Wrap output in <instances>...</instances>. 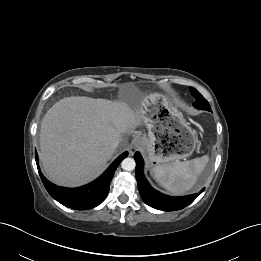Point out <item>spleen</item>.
Masks as SVG:
<instances>
[{
    "mask_svg": "<svg viewBox=\"0 0 261 261\" xmlns=\"http://www.w3.org/2000/svg\"><path fill=\"white\" fill-rule=\"evenodd\" d=\"M208 160V156L204 155L185 162L158 165L153 168L151 175L168 191L175 194L184 193L194 186Z\"/></svg>",
    "mask_w": 261,
    "mask_h": 261,
    "instance_id": "1",
    "label": "spleen"
}]
</instances>
